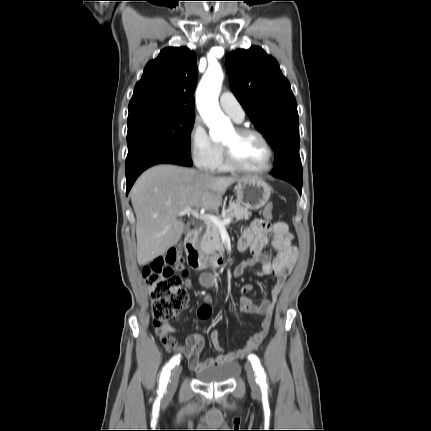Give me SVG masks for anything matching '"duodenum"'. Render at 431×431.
Here are the masks:
<instances>
[{
  "label": "duodenum",
  "mask_w": 431,
  "mask_h": 431,
  "mask_svg": "<svg viewBox=\"0 0 431 431\" xmlns=\"http://www.w3.org/2000/svg\"><path fill=\"white\" fill-rule=\"evenodd\" d=\"M198 237V230H191L184 241L187 261L191 268L201 270L205 268H219L224 265L223 257L218 254L205 255L197 248L196 241Z\"/></svg>",
  "instance_id": "410a0bca"
}]
</instances>
